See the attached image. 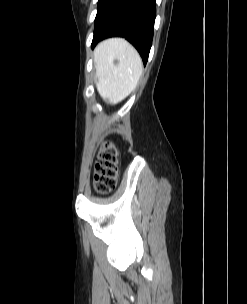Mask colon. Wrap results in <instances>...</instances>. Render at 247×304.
<instances>
[{
    "mask_svg": "<svg viewBox=\"0 0 247 304\" xmlns=\"http://www.w3.org/2000/svg\"><path fill=\"white\" fill-rule=\"evenodd\" d=\"M119 152L116 147L104 144L98 154L94 170V183L99 192L112 190L119 175Z\"/></svg>",
    "mask_w": 247,
    "mask_h": 304,
    "instance_id": "colon-1",
    "label": "colon"
}]
</instances>
